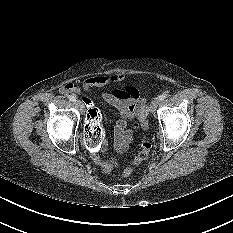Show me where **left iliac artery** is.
Here are the masks:
<instances>
[{
	"label": "left iliac artery",
	"mask_w": 233,
	"mask_h": 233,
	"mask_svg": "<svg viewBox=\"0 0 233 233\" xmlns=\"http://www.w3.org/2000/svg\"><path fill=\"white\" fill-rule=\"evenodd\" d=\"M165 98H166L165 94H162V95L159 96V100H161V101L164 100Z\"/></svg>",
	"instance_id": "obj_1"
}]
</instances>
